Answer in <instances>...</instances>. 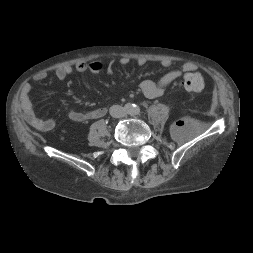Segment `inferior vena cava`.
Wrapping results in <instances>:
<instances>
[{
    "label": "inferior vena cava",
    "instance_id": "602c4592",
    "mask_svg": "<svg viewBox=\"0 0 253 253\" xmlns=\"http://www.w3.org/2000/svg\"><path fill=\"white\" fill-rule=\"evenodd\" d=\"M110 114L111 116L116 118L123 117L125 114V110L120 105H113L110 107Z\"/></svg>",
    "mask_w": 253,
    "mask_h": 253
}]
</instances>
